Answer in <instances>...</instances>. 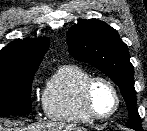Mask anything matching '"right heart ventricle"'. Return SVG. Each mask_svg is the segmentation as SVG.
Listing matches in <instances>:
<instances>
[{"mask_svg": "<svg viewBox=\"0 0 147 131\" xmlns=\"http://www.w3.org/2000/svg\"><path fill=\"white\" fill-rule=\"evenodd\" d=\"M92 74L75 65H62L49 79L44 92V108L47 116L54 121L86 124L92 119L85 112L82 89Z\"/></svg>", "mask_w": 147, "mask_h": 131, "instance_id": "e07e8e85", "label": "right heart ventricle"}]
</instances>
